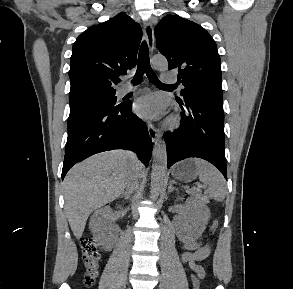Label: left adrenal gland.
<instances>
[{
	"label": "left adrenal gland",
	"mask_w": 293,
	"mask_h": 289,
	"mask_svg": "<svg viewBox=\"0 0 293 289\" xmlns=\"http://www.w3.org/2000/svg\"><path fill=\"white\" fill-rule=\"evenodd\" d=\"M172 183H173V182L170 181V183H169V187H168V193H170V192H172V191L175 190V188L173 187Z\"/></svg>",
	"instance_id": "obj_1"
}]
</instances>
